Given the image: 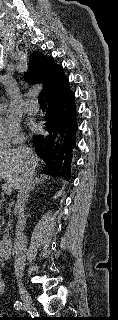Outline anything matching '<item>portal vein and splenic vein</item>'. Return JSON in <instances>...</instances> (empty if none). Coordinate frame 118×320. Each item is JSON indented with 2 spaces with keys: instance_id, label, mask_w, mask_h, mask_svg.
<instances>
[{
  "instance_id": "18ae733b",
  "label": "portal vein and splenic vein",
  "mask_w": 118,
  "mask_h": 320,
  "mask_svg": "<svg viewBox=\"0 0 118 320\" xmlns=\"http://www.w3.org/2000/svg\"><path fill=\"white\" fill-rule=\"evenodd\" d=\"M1 179V178H0ZM3 190L6 194H11L13 189H12V185L9 182H6L3 184Z\"/></svg>"
}]
</instances>
